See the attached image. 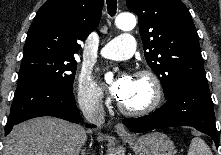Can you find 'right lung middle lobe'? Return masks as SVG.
<instances>
[{
  "label": "right lung middle lobe",
  "instance_id": "dd1d6c3e",
  "mask_svg": "<svg viewBox=\"0 0 221 155\" xmlns=\"http://www.w3.org/2000/svg\"><path fill=\"white\" fill-rule=\"evenodd\" d=\"M76 68L75 58H64L48 53L23 56L16 91L23 83L32 79L43 80L72 91Z\"/></svg>",
  "mask_w": 221,
  "mask_h": 155
}]
</instances>
